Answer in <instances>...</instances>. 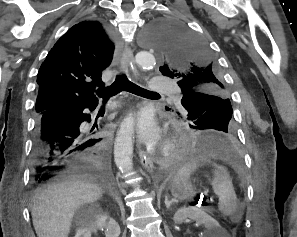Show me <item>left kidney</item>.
I'll return each mask as SVG.
<instances>
[{
	"mask_svg": "<svg viewBox=\"0 0 297 237\" xmlns=\"http://www.w3.org/2000/svg\"><path fill=\"white\" fill-rule=\"evenodd\" d=\"M187 218L195 220L205 227L203 237H222V227L219 223L200 208L191 206L176 211L173 220L177 224L183 223Z\"/></svg>",
	"mask_w": 297,
	"mask_h": 237,
	"instance_id": "5707ae66",
	"label": "left kidney"
}]
</instances>
